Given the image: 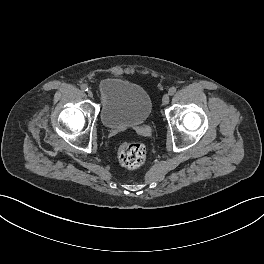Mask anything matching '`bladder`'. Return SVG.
I'll return each instance as SVG.
<instances>
[{"instance_id":"31cf9c89","label":"bladder","mask_w":264,"mask_h":264,"mask_svg":"<svg viewBox=\"0 0 264 264\" xmlns=\"http://www.w3.org/2000/svg\"><path fill=\"white\" fill-rule=\"evenodd\" d=\"M100 117L108 129L139 126L152 110L149 93L142 86L122 79L108 78L99 85Z\"/></svg>"}]
</instances>
